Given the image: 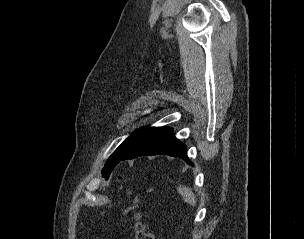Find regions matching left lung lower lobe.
<instances>
[{
	"mask_svg": "<svg viewBox=\"0 0 304 239\" xmlns=\"http://www.w3.org/2000/svg\"><path fill=\"white\" fill-rule=\"evenodd\" d=\"M158 154L179 157L185 160L189 165H193L187 156L186 146L175 138L172 129L169 127L157 129L155 132L135 145L120 159V161L133 159L139 156H151Z\"/></svg>",
	"mask_w": 304,
	"mask_h": 239,
	"instance_id": "left-lung-lower-lobe-1",
	"label": "left lung lower lobe"
}]
</instances>
